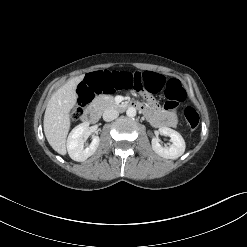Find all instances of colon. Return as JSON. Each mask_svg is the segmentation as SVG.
<instances>
[{
	"instance_id": "5ec220e1",
	"label": "colon",
	"mask_w": 247,
	"mask_h": 247,
	"mask_svg": "<svg viewBox=\"0 0 247 247\" xmlns=\"http://www.w3.org/2000/svg\"><path fill=\"white\" fill-rule=\"evenodd\" d=\"M135 90L139 93H158L164 90L166 105L175 107L182 102L186 93L181 83L176 79L166 80L163 76L151 72H139L128 65L110 66L106 71L92 72L87 75L79 89V103L74 112V119L79 118L86 104L96 93L112 94L115 92ZM184 118L190 130L199 125V114L193 107L184 109Z\"/></svg>"
}]
</instances>
